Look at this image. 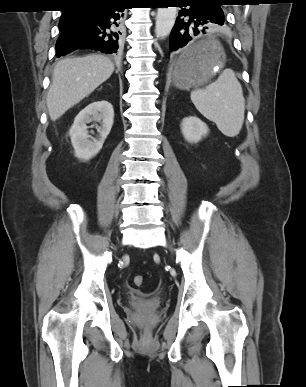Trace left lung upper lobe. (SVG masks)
I'll use <instances>...</instances> for the list:
<instances>
[{"label":"left lung upper lobe","mask_w":306,"mask_h":387,"mask_svg":"<svg viewBox=\"0 0 306 387\" xmlns=\"http://www.w3.org/2000/svg\"><path fill=\"white\" fill-rule=\"evenodd\" d=\"M209 1L222 2L223 0H209Z\"/></svg>","instance_id":"obj_1"}]
</instances>
